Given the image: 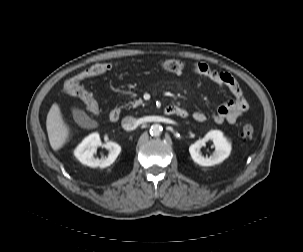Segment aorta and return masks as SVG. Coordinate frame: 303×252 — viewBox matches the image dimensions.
Returning a JSON list of instances; mask_svg holds the SVG:
<instances>
[{"instance_id":"aorta-1","label":"aorta","mask_w":303,"mask_h":252,"mask_svg":"<svg viewBox=\"0 0 303 252\" xmlns=\"http://www.w3.org/2000/svg\"><path fill=\"white\" fill-rule=\"evenodd\" d=\"M163 128L161 125L159 124H153L151 127H150V134L152 136H159L162 132Z\"/></svg>"}]
</instances>
